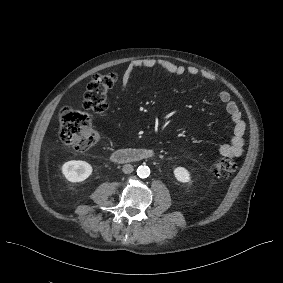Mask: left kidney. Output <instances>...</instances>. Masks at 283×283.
Returning <instances> with one entry per match:
<instances>
[{
  "label": "left kidney",
  "instance_id": "left-kidney-1",
  "mask_svg": "<svg viewBox=\"0 0 283 283\" xmlns=\"http://www.w3.org/2000/svg\"><path fill=\"white\" fill-rule=\"evenodd\" d=\"M174 176L181 183H189L191 180L189 171L184 167L175 168Z\"/></svg>",
  "mask_w": 283,
  "mask_h": 283
}]
</instances>
